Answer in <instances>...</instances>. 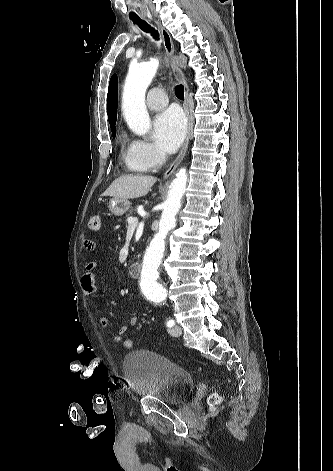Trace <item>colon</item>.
Segmentation results:
<instances>
[{
	"label": "colon",
	"instance_id": "1",
	"mask_svg": "<svg viewBox=\"0 0 333 471\" xmlns=\"http://www.w3.org/2000/svg\"><path fill=\"white\" fill-rule=\"evenodd\" d=\"M100 217L95 215L92 216L88 222V227L89 229L96 231L100 228ZM123 346L126 349H131L134 345L133 341L131 339H124L122 342ZM221 401V398L218 394L214 393L209 397V405L211 408H214L216 405H218Z\"/></svg>",
	"mask_w": 333,
	"mask_h": 471
}]
</instances>
